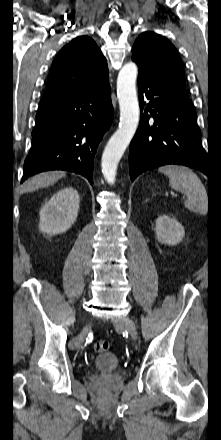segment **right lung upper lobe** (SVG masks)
<instances>
[{
  "mask_svg": "<svg viewBox=\"0 0 221 440\" xmlns=\"http://www.w3.org/2000/svg\"><path fill=\"white\" fill-rule=\"evenodd\" d=\"M108 84V66L97 44L80 36L65 45L54 59L43 98L92 92Z\"/></svg>",
  "mask_w": 221,
  "mask_h": 440,
  "instance_id": "cb5924a9",
  "label": "right lung upper lobe"
}]
</instances>
